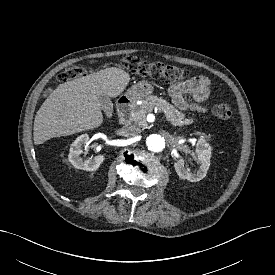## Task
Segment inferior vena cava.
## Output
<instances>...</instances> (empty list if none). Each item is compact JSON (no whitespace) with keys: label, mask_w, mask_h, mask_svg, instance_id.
I'll list each match as a JSON object with an SVG mask.
<instances>
[{"label":"inferior vena cava","mask_w":275,"mask_h":275,"mask_svg":"<svg viewBox=\"0 0 275 275\" xmlns=\"http://www.w3.org/2000/svg\"><path fill=\"white\" fill-rule=\"evenodd\" d=\"M123 130L124 135L129 137H135L141 133V129L135 124L125 126Z\"/></svg>","instance_id":"inferior-vena-cava-1"}]
</instances>
